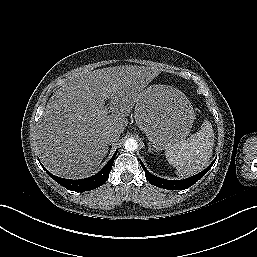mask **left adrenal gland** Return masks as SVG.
Listing matches in <instances>:
<instances>
[{
	"mask_svg": "<svg viewBox=\"0 0 257 257\" xmlns=\"http://www.w3.org/2000/svg\"><path fill=\"white\" fill-rule=\"evenodd\" d=\"M150 152H156V150L155 149H153L152 147H151V145H149V149H148Z\"/></svg>",
	"mask_w": 257,
	"mask_h": 257,
	"instance_id": "left-adrenal-gland-1",
	"label": "left adrenal gland"
}]
</instances>
